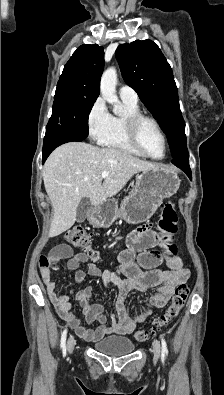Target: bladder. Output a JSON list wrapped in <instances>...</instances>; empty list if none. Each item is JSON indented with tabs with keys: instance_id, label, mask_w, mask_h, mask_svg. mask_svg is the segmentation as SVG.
Returning a JSON list of instances; mask_svg holds the SVG:
<instances>
[{
	"instance_id": "bladder-1",
	"label": "bladder",
	"mask_w": 224,
	"mask_h": 395,
	"mask_svg": "<svg viewBox=\"0 0 224 395\" xmlns=\"http://www.w3.org/2000/svg\"><path fill=\"white\" fill-rule=\"evenodd\" d=\"M94 350L108 356H120L132 353L135 345L128 337L110 336L96 342Z\"/></svg>"
}]
</instances>
